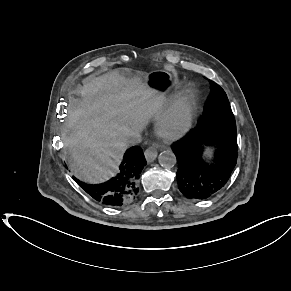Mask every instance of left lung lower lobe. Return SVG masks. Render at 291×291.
I'll list each match as a JSON object with an SVG mask.
<instances>
[{
	"label": "left lung lower lobe",
	"instance_id": "1",
	"mask_svg": "<svg viewBox=\"0 0 291 291\" xmlns=\"http://www.w3.org/2000/svg\"><path fill=\"white\" fill-rule=\"evenodd\" d=\"M213 153L206 157L204 150ZM236 128L203 122L172 146L177 158L178 188L189 199H208L229 180L237 161Z\"/></svg>",
	"mask_w": 291,
	"mask_h": 291
}]
</instances>
